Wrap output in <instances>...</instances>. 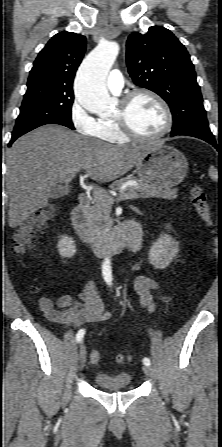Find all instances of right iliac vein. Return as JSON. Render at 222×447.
Returning a JSON list of instances; mask_svg holds the SVG:
<instances>
[{"label": "right iliac vein", "instance_id": "63e3f726", "mask_svg": "<svg viewBox=\"0 0 222 447\" xmlns=\"http://www.w3.org/2000/svg\"><path fill=\"white\" fill-rule=\"evenodd\" d=\"M86 360H87L86 347H85L84 343H81L80 348H79V368L80 369H82L85 366Z\"/></svg>", "mask_w": 222, "mask_h": 447}]
</instances>
